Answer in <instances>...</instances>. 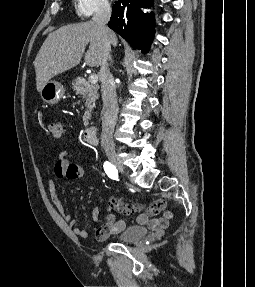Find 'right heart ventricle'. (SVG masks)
<instances>
[{"label": "right heart ventricle", "mask_w": 255, "mask_h": 287, "mask_svg": "<svg viewBox=\"0 0 255 287\" xmlns=\"http://www.w3.org/2000/svg\"><path fill=\"white\" fill-rule=\"evenodd\" d=\"M77 39V38H74ZM123 39H129V38H123ZM120 48H134V47H120Z\"/></svg>", "instance_id": "obj_1"}]
</instances>
